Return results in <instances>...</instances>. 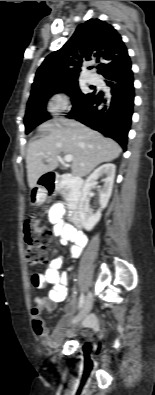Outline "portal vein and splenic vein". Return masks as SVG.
Returning a JSON list of instances; mask_svg holds the SVG:
<instances>
[{
  "label": "portal vein and splenic vein",
  "mask_w": 155,
  "mask_h": 395,
  "mask_svg": "<svg viewBox=\"0 0 155 395\" xmlns=\"http://www.w3.org/2000/svg\"><path fill=\"white\" fill-rule=\"evenodd\" d=\"M72 159H73V156L70 155V154L64 156V161H65V162H71Z\"/></svg>",
  "instance_id": "portal-vein-and-splenic-vein-1"
}]
</instances>
